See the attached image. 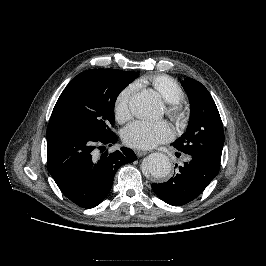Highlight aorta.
Listing matches in <instances>:
<instances>
[{"instance_id":"obj_1","label":"aorta","mask_w":266,"mask_h":266,"mask_svg":"<svg viewBox=\"0 0 266 266\" xmlns=\"http://www.w3.org/2000/svg\"><path fill=\"white\" fill-rule=\"evenodd\" d=\"M130 111L137 118H156L161 114V100L154 92L142 91L135 94L129 103ZM143 167L154 177L163 178L170 174L171 163L163 153H151Z\"/></svg>"}]
</instances>
